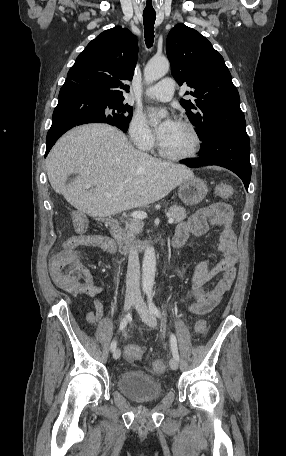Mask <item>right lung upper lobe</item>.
<instances>
[{
  "instance_id": "obj_1",
  "label": "right lung upper lobe",
  "mask_w": 286,
  "mask_h": 456,
  "mask_svg": "<svg viewBox=\"0 0 286 456\" xmlns=\"http://www.w3.org/2000/svg\"><path fill=\"white\" fill-rule=\"evenodd\" d=\"M138 41L126 28L108 29L92 40L70 68L62 88L84 90L95 97L123 101L137 62Z\"/></svg>"
}]
</instances>
